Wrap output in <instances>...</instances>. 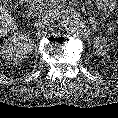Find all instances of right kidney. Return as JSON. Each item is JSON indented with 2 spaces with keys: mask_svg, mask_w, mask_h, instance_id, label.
<instances>
[{
  "mask_svg": "<svg viewBox=\"0 0 118 118\" xmlns=\"http://www.w3.org/2000/svg\"><path fill=\"white\" fill-rule=\"evenodd\" d=\"M33 46L32 39L26 33H14L6 39L0 53L4 59L18 63L28 57Z\"/></svg>",
  "mask_w": 118,
  "mask_h": 118,
  "instance_id": "1",
  "label": "right kidney"
}]
</instances>
